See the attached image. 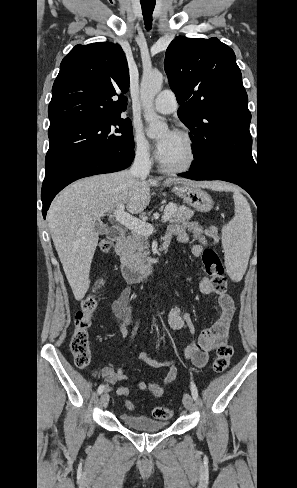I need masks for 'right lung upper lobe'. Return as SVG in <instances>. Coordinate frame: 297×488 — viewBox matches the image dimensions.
<instances>
[{"label":"right lung upper lobe","mask_w":297,"mask_h":488,"mask_svg":"<svg viewBox=\"0 0 297 488\" xmlns=\"http://www.w3.org/2000/svg\"><path fill=\"white\" fill-rule=\"evenodd\" d=\"M129 70L118 44L76 45L62 60L48 107V133L121 116L126 109ZM113 96H119L113 100Z\"/></svg>","instance_id":"obj_1"}]
</instances>
